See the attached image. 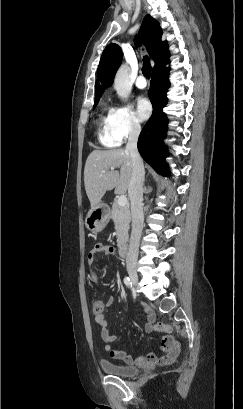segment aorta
I'll return each mask as SVG.
<instances>
[{"instance_id":"aorta-1","label":"aorta","mask_w":243,"mask_h":409,"mask_svg":"<svg viewBox=\"0 0 243 409\" xmlns=\"http://www.w3.org/2000/svg\"><path fill=\"white\" fill-rule=\"evenodd\" d=\"M114 87L121 99L127 100L129 98L132 89V83L130 69L127 65H122L118 69L114 79Z\"/></svg>"}]
</instances>
